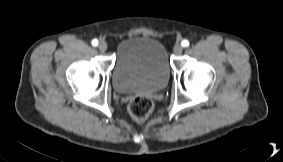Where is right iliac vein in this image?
Here are the masks:
<instances>
[{
    "mask_svg": "<svg viewBox=\"0 0 283 162\" xmlns=\"http://www.w3.org/2000/svg\"><path fill=\"white\" fill-rule=\"evenodd\" d=\"M98 49L101 51V52H105L107 50V44L104 43V42H100L99 45H98Z\"/></svg>",
    "mask_w": 283,
    "mask_h": 162,
    "instance_id": "63e3f726",
    "label": "right iliac vein"
}]
</instances>
